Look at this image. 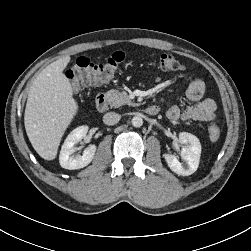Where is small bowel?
<instances>
[{"label": "small bowel", "mask_w": 251, "mask_h": 251, "mask_svg": "<svg viewBox=\"0 0 251 251\" xmlns=\"http://www.w3.org/2000/svg\"><path fill=\"white\" fill-rule=\"evenodd\" d=\"M205 83L199 78H194L186 89V97L191 105L181 109L172 105L166 112L171 121H210L215 117L216 104L211 98H204Z\"/></svg>", "instance_id": "c3829d8e"}]
</instances>
